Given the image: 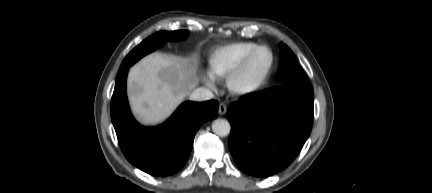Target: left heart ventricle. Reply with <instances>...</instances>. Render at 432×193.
<instances>
[{"label":"left heart ventricle","mask_w":432,"mask_h":193,"mask_svg":"<svg viewBox=\"0 0 432 193\" xmlns=\"http://www.w3.org/2000/svg\"><path fill=\"white\" fill-rule=\"evenodd\" d=\"M270 59L271 57L268 50H261L258 52L242 75V82L250 84L262 78L269 67Z\"/></svg>","instance_id":"obj_1"}]
</instances>
